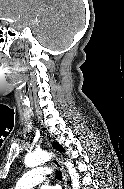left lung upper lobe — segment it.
Segmentation results:
<instances>
[{
  "instance_id": "1",
  "label": "left lung upper lobe",
  "mask_w": 124,
  "mask_h": 189,
  "mask_svg": "<svg viewBox=\"0 0 124 189\" xmlns=\"http://www.w3.org/2000/svg\"><path fill=\"white\" fill-rule=\"evenodd\" d=\"M53 147L56 148L58 151H61V152L64 151V149L58 143H54Z\"/></svg>"
}]
</instances>
